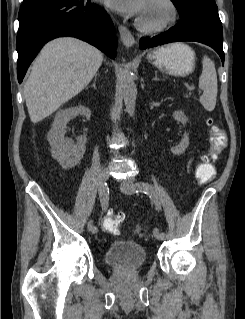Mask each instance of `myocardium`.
<instances>
[{"label": "myocardium", "mask_w": 245, "mask_h": 319, "mask_svg": "<svg viewBox=\"0 0 245 319\" xmlns=\"http://www.w3.org/2000/svg\"><path fill=\"white\" fill-rule=\"evenodd\" d=\"M152 2L153 0H148ZM158 2L162 3L167 11L168 16L165 20L158 22V23H148L145 22L140 17L136 20V26L139 30L145 33H159L174 25L178 19V8L173 0H157Z\"/></svg>", "instance_id": "myocardium-1"}]
</instances>
